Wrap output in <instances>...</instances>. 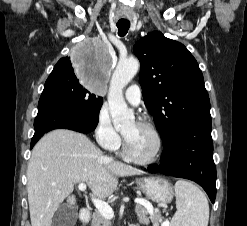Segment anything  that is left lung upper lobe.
Wrapping results in <instances>:
<instances>
[{
    "label": "left lung upper lobe",
    "instance_id": "1",
    "mask_svg": "<svg viewBox=\"0 0 247 226\" xmlns=\"http://www.w3.org/2000/svg\"><path fill=\"white\" fill-rule=\"evenodd\" d=\"M134 53L141 63L144 102L164 145L189 124L211 119L202 72L183 44L154 31L136 42Z\"/></svg>",
    "mask_w": 247,
    "mask_h": 226
}]
</instances>
